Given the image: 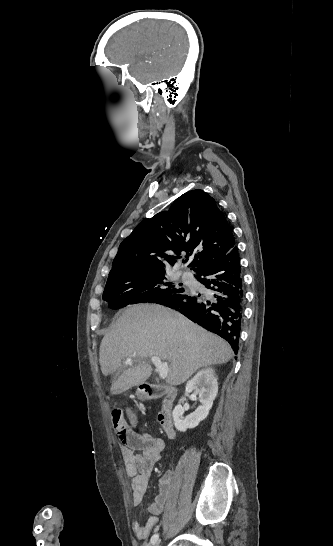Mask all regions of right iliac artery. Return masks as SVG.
I'll list each match as a JSON object with an SVG mask.
<instances>
[{
	"label": "right iliac artery",
	"instance_id": "82829eb1",
	"mask_svg": "<svg viewBox=\"0 0 333 546\" xmlns=\"http://www.w3.org/2000/svg\"><path fill=\"white\" fill-rule=\"evenodd\" d=\"M159 539V534H154L152 537H151V540H150V545L154 546V544L158 541Z\"/></svg>",
	"mask_w": 333,
	"mask_h": 546
}]
</instances>
